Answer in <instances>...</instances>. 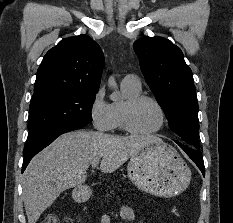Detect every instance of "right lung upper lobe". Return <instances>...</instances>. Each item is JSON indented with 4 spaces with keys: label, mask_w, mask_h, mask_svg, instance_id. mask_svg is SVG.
<instances>
[{
    "label": "right lung upper lobe",
    "mask_w": 233,
    "mask_h": 223,
    "mask_svg": "<svg viewBox=\"0 0 233 223\" xmlns=\"http://www.w3.org/2000/svg\"><path fill=\"white\" fill-rule=\"evenodd\" d=\"M103 67V52L89 36L63 39L44 56L33 95L50 91H98Z\"/></svg>",
    "instance_id": "cb5924a9"
}]
</instances>
